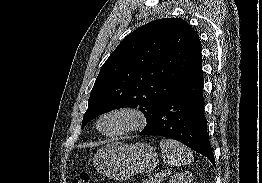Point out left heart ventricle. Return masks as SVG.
Segmentation results:
<instances>
[{"mask_svg": "<svg viewBox=\"0 0 262 183\" xmlns=\"http://www.w3.org/2000/svg\"><path fill=\"white\" fill-rule=\"evenodd\" d=\"M131 117L124 113H114L107 115L101 122V129L106 133H113L128 127Z\"/></svg>", "mask_w": 262, "mask_h": 183, "instance_id": "left-heart-ventricle-1", "label": "left heart ventricle"}]
</instances>
